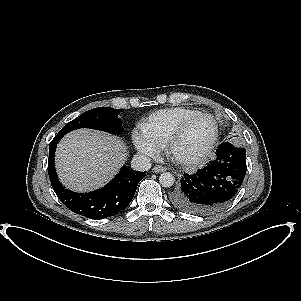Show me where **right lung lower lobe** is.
I'll use <instances>...</instances> for the list:
<instances>
[{
	"mask_svg": "<svg viewBox=\"0 0 301 301\" xmlns=\"http://www.w3.org/2000/svg\"><path fill=\"white\" fill-rule=\"evenodd\" d=\"M63 136L58 133L51 141L48 158L51 185L61 202L71 211L91 219L107 218L125 209L146 173L133 171L124 166L116 177L101 189L81 194L69 191L58 181L54 167L55 149Z\"/></svg>",
	"mask_w": 301,
	"mask_h": 301,
	"instance_id": "1",
	"label": "right lung lower lobe"
}]
</instances>
